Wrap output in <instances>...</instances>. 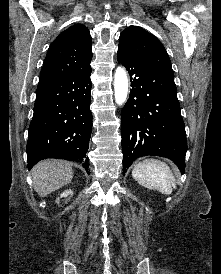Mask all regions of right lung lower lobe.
Segmentation results:
<instances>
[{
    "instance_id": "right-lung-lower-lobe-1",
    "label": "right lung lower lobe",
    "mask_w": 221,
    "mask_h": 274,
    "mask_svg": "<svg viewBox=\"0 0 221 274\" xmlns=\"http://www.w3.org/2000/svg\"><path fill=\"white\" fill-rule=\"evenodd\" d=\"M91 72L89 68L37 88L26 148L28 169L58 158L82 163L89 173Z\"/></svg>"
}]
</instances>
